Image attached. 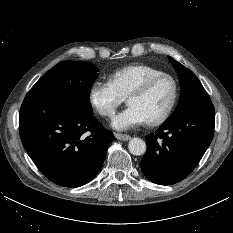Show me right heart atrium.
<instances>
[{"instance_id":"1","label":"right heart atrium","mask_w":233,"mask_h":233,"mask_svg":"<svg viewBox=\"0 0 233 233\" xmlns=\"http://www.w3.org/2000/svg\"><path fill=\"white\" fill-rule=\"evenodd\" d=\"M89 100L93 108L103 117L111 118L125 101L123 96L108 80H95L89 90Z\"/></svg>"}]
</instances>
